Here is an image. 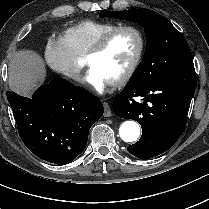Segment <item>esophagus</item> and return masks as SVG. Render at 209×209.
Returning <instances> with one entry per match:
<instances>
[{
  "label": "esophagus",
  "mask_w": 209,
  "mask_h": 209,
  "mask_svg": "<svg viewBox=\"0 0 209 209\" xmlns=\"http://www.w3.org/2000/svg\"><path fill=\"white\" fill-rule=\"evenodd\" d=\"M103 106H104V116L110 117L112 115L111 107L107 102H104Z\"/></svg>",
  "instance_id": "esophagus-1"
}]
</instances>
